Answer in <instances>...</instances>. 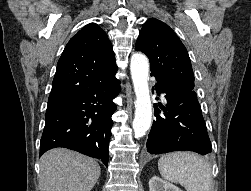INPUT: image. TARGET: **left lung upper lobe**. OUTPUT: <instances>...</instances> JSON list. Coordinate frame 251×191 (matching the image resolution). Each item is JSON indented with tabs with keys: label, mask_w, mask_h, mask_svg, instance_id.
<instances>
[{
	"label": "left lung upper lobe",
	"mask_w": 251,
	"mask_h": 191,
	"mask_svg": "<svg viewBox=\"0 0 251 191\" xmlns=\"http://www.w3.org/2000/svg\"><path fill=\"white\" fill-rule=\"evenodd\" d=\"M135 47L149 58L151 74L156 80L172 88L194 90V74L188 52L167 24L155 18L148 19Z\"/></svg>",
	"instance_id": "obj_1"
}]
</instances>
